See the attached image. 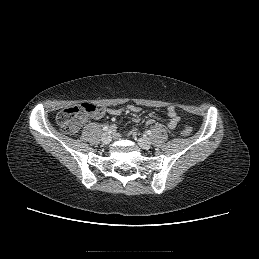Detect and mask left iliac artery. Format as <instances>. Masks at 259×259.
Returning <instances> with one entry per match:
<instances>
[{
    "mask_svg": "<svg viewBox=\"0 0 259 259\" xmlns=\"http://www.w3.org/2000/svg\"><path fill=\"white\" fill-rule=\"evenodd\" d=\"M146 133H147V135H151V131L150 130H147Z\"/></svg>",
    "mask_w": 259,
    "mask_h": 259,
    "instance_id": "obj_1",
    "label": "left iliac artery"
}]
</instances>
